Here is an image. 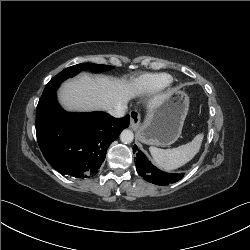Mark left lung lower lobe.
I'll use <instances>...</instances> for the list:
<instances>
[{"mask_svg":"<svg viewBox=\"0 0 250 250\" xmlns=\"http://www.w3.org/2000/svg\"><path fill=\"white\" fill-rule=\"evenodd\" d=\"M133 150L136 152L134 160L136 170L146 181L157 185H168L169 183L177 182L183 177V174H169L157 169L147 159L146 155L138 150L136 145H134Z\"/></svg>","mask_w":250,"mask_h":250,"instance_id":"left-lung-lower-lobe-1","label":"left lung lower lobe"}]
</instances>
